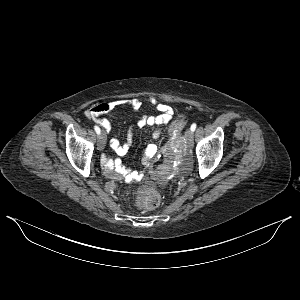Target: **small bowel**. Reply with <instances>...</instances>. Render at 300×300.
<instances>
[{"label": "small bowel", "instance_id": "1", "mask_svg": "<svg viewBox=\"0 0 300 300\" xmlns=\"http://www.w3.org/2000/svg\"><path fill=\"white\" fill-rule=\"evenodd\" d=\"M150 105L154 106L158 111L157 115H148L137 120L128 130L127 139L124 142H120L117 139H112L110 141V147L119 156H125L132 145L133 132L135 129L143 128L145 126H156L157 129L153 133V138L158 139L163 128L167 126L173 118V109L164 103L157 101L155 98H148L146 100ZM142 101L140 99H115L106 103L98 104L91 109L87 110L85 115L88 118L97 119L101 126L109 131L111 128L110 122L105 118L111 111L118 107L129 106L133 110H138L142 106ZM158 147L156 144L152 143L148 145L144 151L141 158V163L144 166H150L155 156L157 155ZM102 166L105 174L114 180L130 179L134 180L137 178L138 173L131 170L129 167L122 164L119 159H111L110 157L104 155L102 157ZM158 173L166 174V170L162 169ZM157 173V174H158ZM156 174V176H157Z\"/></svg>", "mask_w": 300, "mask_h": 300}]
</instances>
